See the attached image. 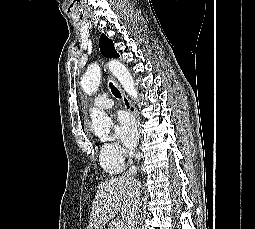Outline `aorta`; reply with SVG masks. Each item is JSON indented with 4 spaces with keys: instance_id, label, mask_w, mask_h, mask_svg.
Instances as JSON below:
<instances>
[{
    "instance_id": "1",
    "label": "aorta",
    "mask_w": 255,
    "mask_h": 229,
    "mask_svg": "<svg viewBox=\"0 0 255 229\" xmlns=\"http://www.w3.org/2000/svg\"><path fill=\"white\" fill-rule=\"evenodd\" d=\"M109 70L118 79L124 90L132 99H138V91L135 88V82L127 67L117 60H111L108 63ZM101 79V69L98 64H92L81 79V87L85 93L91 94L97 90ZM91 121L93 132L101 141H111L114 139L110 135L112 124L109 116L97 109L91 110Z\"/></svg>"
}]
</instances>
